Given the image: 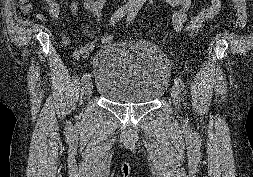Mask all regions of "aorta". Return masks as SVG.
Here are the masks:
<instances>
[{
	"label": "aorta",
	"instance_id": "obj_1",
	"mask_svg": "<svg viewBox=\"0 0 253 177\" xmlns=\"http://www.w3.org/2000/svg\"><path fill=\"white\" fill-rule=\"evenodd\" d=\"M138 5H142L146 0H130Z\"/></svg>",
	"mask_w": 253,
	"mask_h": 177
}]
</instances>
